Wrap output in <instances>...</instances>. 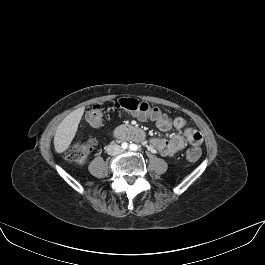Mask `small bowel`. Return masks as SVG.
I'll use <instances>...</instances> for the list:
<instances>
[{
    "instance_id": "1",
    "label": "small bowel",
    "mask_w": 265,
    "mask_h": 265,
    "mask_svg": "<svg viewBox=\"0 0 265 265\" xmlns=\"http://www.w3.org/2000/svg\"><path fill=\"white\" fill-rule=\"evenodd\" d=\"M140 121L150 120L155 123L157 128L163 132L170 130L183 131V134H173L169 138L154 137L150 140V144L154 150L163 156H174L180 152L187 143L193 146H199L202 143L201 134L187 126V122L182 117L169 118L165 115L161 117H148L136 114Z\"/></svg>"
}]
</instances>
